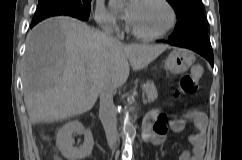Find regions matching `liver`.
Wrapping results in <instances>:
<instances>
[{
	"instance_id": "obj_1",
	"label": "liver",
	"mask_w": 242,
	"mask_h": 160,
	"mask_svg": "<svg viewBox=\"0 0 242 160\" xmlns=\"http://www.w3.org/2000/svg\"><path fill=\"white\" fill-rule=\"evenodd\" d=\"M169 45L112 42L104 33L71 17L49 18L27 35L22 80L24 102L33 123L53 122L89 111L105 76L123 85ZM129 61V62H128Z\"/></svg>"
}]
</instances>
